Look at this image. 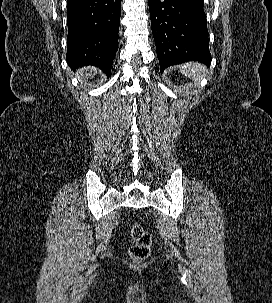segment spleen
I'll use <instances>...</instances> for the list:
<instances>
[{
  "label": "spleen",
  "instance_id": "spleen-1",
  "mask_svg": "<svg viewBox=\"0 0 272 303\" xmlns=\"http://www.w3.org/2000/svg\"><path fill=\"white\" fill-rule=\"evenodd\" d=\"M180 71L182 74L192 79L196 83L205 77L206 68L200 63L189 62L181 65Z\"/></svg>",
  "mask_w": 272,
  "mask_h": 303
}]
</instances>
